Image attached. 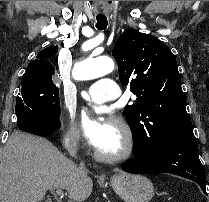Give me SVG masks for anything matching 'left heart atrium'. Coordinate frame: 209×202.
I'll return each instance as SVG.
<instances>
[{"label": "left heart atrium", "instance_id": "left-heart-atrium-1", "mask_svg": "<svg viewBox=\"0 0 209 202\" xmlns=\"http://www.w3.org/2000/svg\"><path fill=\"white\" fill-rule=\"evenodd\" d=\"M79 126L87 143L97 148L106 135L108 123L100 114L86 110L80 117Z\"/></svg>", "mask_w": 209, "mask_h": 202}]
</instances>
